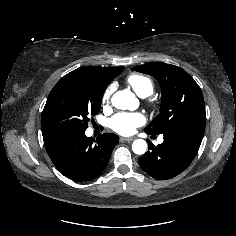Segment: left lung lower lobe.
Masks as SVG:
<instances>
[{"label":"left lung lower lobe","instance_id":"0a47b994","mask_svg":"<svg viewBox=\"0 0 236 236\" xmlns=\"http://www.w3.org/2000/svg\"><path fill=\"white\" fill-rule=\"evenodd\" d=\"M205 124L182 125L163 133L164 142L154 147L148 141V151L139 158L143 170L158 180L171 179L183 172L200 147Z\"/></svg>","mask_w":236,"mask_h":236}]
</instances>
